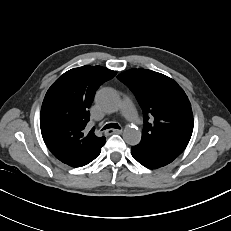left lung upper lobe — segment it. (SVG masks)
Masks as SVG:
<instances>
[{"label":"left lung upper lobe","instance_id":"obj_1","mask_svg":"<svg viewBox=\"0 0 231 231\" xmlns=\"http://www.w3.org/2000/svg\"><path fill=\"white\" fill-rule=\"evenodd\" d=\"M136 96L144 127L140 143L169 148L181 154L193 132L189 99L173 79L151 70L130 69L117 76Z\"/></svg>","mask_w":231,"mask_h":231}]
</instances>
